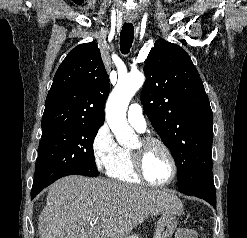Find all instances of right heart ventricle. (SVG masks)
<instances>
[{
  "mask_svg": "<svg viewBox=\"0 0 247 238\" xmlns=\"http://www.w3.org/2000/svg\"><path fill=\"white\" fill-rule=\"evenodd\" d=\"M106 173L111 179L121 183H141V180L134 171L131 151L126 147H119L115 158L106 169Z\"/></svg>",
  "mask_w": 247,
  "mask_h": 238,
  "instance_id": "1",
  "label": "right heart ventricle"
}]
</instances>
